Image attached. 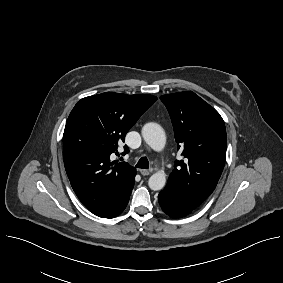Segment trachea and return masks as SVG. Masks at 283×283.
<instances>
[{"label":"trachea","mask_w":283,"mask_h":283,"mask_svg":"<svg viewBox=\"0 0 283 283\" xmlns=\"http://www.w3.org/2000/svg\"><path fill=\"white\" fill-rule=\"evenodd\" d=\"M136 167L142 168V169H148L149 168L148 159L146 157L140 158L138 163L136 164Z\"/></svg>","instance_id":"obj_1"}]
</instances>
